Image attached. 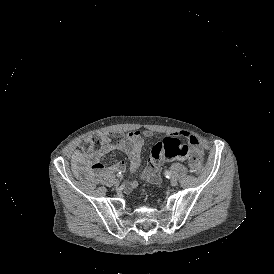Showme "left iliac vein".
Here are the masks:
<instances>
[{
	"instance_id": "1",
	"label": "left iliac vein",
	"mask_w": 274,
	"mask_h": 274,
	"mask_svg": "<svg viewBox=\"0 0 274 274\" xmlns=\"http://www.w3.org/2000/svg\"><path fill=\"white\" fill-rule=\"evenodd\" d=\"M177 183H178V180H177L176 178H172V179L170 180V185H171V186H176Z\"/></svg>"
}]
</instances>
